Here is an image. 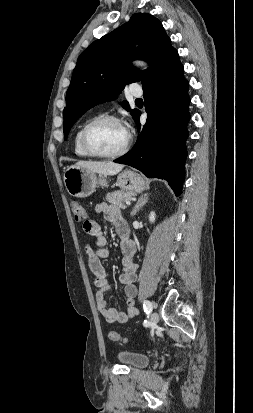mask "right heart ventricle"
I'll use <instances>...</instances> for the list:
<instances>
[{"mask_svg": "<svg viewBox=\"0 0 253 413\" xmlns=\"http://www.w3.org/2000/svg\"><path fill=\"white\" fill-rule=\"evenodd\" d=\"M93 118H95L94 116L88 117L86 119H84L76 128L74 135H73V148H74V153L81 158H87L90 157L89 154H87L80 143V135L81 132L83 130V128L85 127V125L90 122Z\"/></svg>", "mask_w": 253, "mask_h": 413, "instance_id": "right-heart-ventricle-1", "label": "right heart ventricle"}]
</instances>
